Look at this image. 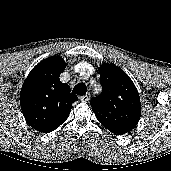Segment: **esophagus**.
Instances as JSON below:
<instances>
[{"mask_svg": "<svg viewBox=\"0 0 171 171\" xmlns=\"http://www.w3.org/2000/svg\"><path fill=\"white\" fill-rule=\"evenodd\" d=\"M91 96L90 94H86V95H83V96H80L79 99L82 101V102H88L90 100Z\"/></svg>", "mask_w": 171, "mask_h": 171, "instance_id": "obj_1", "label": "esophagus"}]
</instances>
